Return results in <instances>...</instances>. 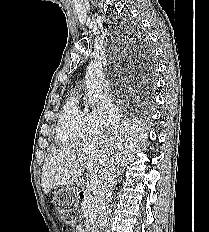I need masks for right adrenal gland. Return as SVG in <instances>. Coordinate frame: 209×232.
<instances>
[{
	"instance_id": "1",
	"label": "right adrenal gland",
	"mask_w": 209,
	"mask_h": 232,
	"mask_svg": "<svg viewBox=\"0 0 209 232\" xmlns=\"http://www.w3.org/2000/svg\"><path fill=\"white\" fill-rule=\"evenodd\" d=\"M120 172H121V171H118V172H117V176H116L115 184H117V178H118V177H119V175L121 174Z\"/></svg>"
}]
</instances>
